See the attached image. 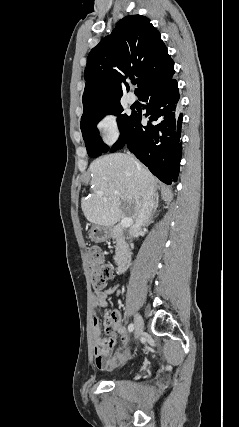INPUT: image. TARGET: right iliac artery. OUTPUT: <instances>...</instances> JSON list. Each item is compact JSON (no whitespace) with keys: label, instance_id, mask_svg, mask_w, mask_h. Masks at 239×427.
Returning <instances> with one entry per match:
<instances>
[{"label":"right iliac artery","instance_id":"obj_1","mask_svg":"<svg viewBox=\"0 0 239 427\" xmlns=\"http://www.w3.org/2000/svg\"><path fill=\"white\" fill-rule=\"evenodd\" d=\"M134 330V324H129V326H128V331L129 332H132Z\"/></svg>","mask_w":239,"mask_h":427}]
</instances>
